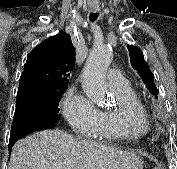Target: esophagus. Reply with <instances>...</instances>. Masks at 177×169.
Wrapping results in <instances>:
<instances>
[{"instance_id":"esophagus-1","label":"esophagus","mask_w":177,"mask_h":169,"mask_svg":"<svg viewBox=\"0 0 177 169\" xmlns=\"http://www.w3.org/2000/svg\"><path fill=\"white\" fill-rule=\"evenodd\" d=\"M98 10V6H92L91 11L96 12Z\"/></svg>"}]
</instances>
